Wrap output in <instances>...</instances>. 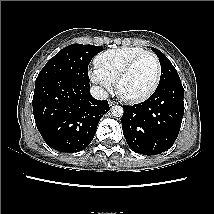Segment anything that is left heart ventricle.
<instances>
[{"mask_svg":"<svg viewBox=\"0 0 214 214\" xmlns=\"http://www.w3.org/2000/svg\"><path fill=\"white\" fill-rule=\"evenodd\" d=\"M156 66L151 57L142 58L123 80L120 90L130 97L146 93L154 83Z\"/></svg>","mask_w":214,"mask_h":214,"instance_id":"1","label":"left heart ventricle"}]
</instances>
